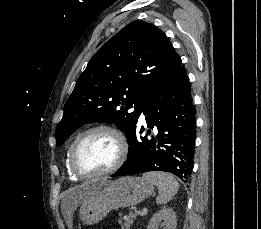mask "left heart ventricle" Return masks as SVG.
Here are the masks:
<instances>
[{
  "label": "left heart ventricle",
  "instance_id": "left-heart-ventricle-1",
  "mask_svg": "<svg viewBox=\"0 0 261 229\" xmlns=\"http://www.w3.org/2000/svg\"><path fill=\"white\" fill-rule=\"evenodd\" d=\"M118 152L114 137L106 132H98L81 144L76 152L75 162L83 171L100 172L114 165Z\"/></svg>",
  "mask_w": 261,
  "mask_h": 229
}]
</instances>
